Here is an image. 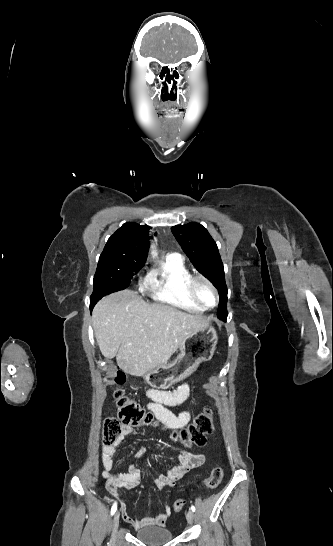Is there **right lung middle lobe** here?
<instances>
[{
    "mask_svg": "<svg viewBox=\"0 0 333 546\" xmlns=\"http://www.w3.org/2000/svg\"><path fill=\"white\" fill-rule=\"evenodd\" d=\"M122 258L100 256L94 275V289L91 301L96 303L103 296L128 287L132 277L139 272L129 268Z\"/></svg>",
    "mask_w": 333,
    "mask_h": 546,
    "instance_id": "obj_1",
    "label": "right lung middle lobe"
}]
</instances>
